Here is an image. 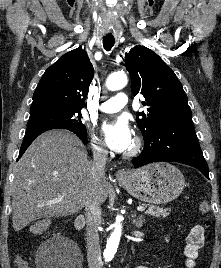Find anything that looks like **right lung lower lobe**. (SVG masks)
<instances>
[{"mask_svg": "<svg viewBox=\"0 0 221 268\" xmlns=\"http://www.w3.org/2000/svg\"><path fill=\"white\" fill-rule=\"evenodd\" d=\"M51 129H65V128H57V127H48V126H40V127H34V128H29L26 130L23 143L21 145L20 153L18 159L23 155L25 150L29 147V145L43 132L51 130ZM74 134H76L84 144L87 143V134L86 132H82L79 130H74V129H67Z\"/></svg>", "mask_w": 221, "mask_h": 268, "instance_id": "obj_1", "label": "right lung lower lobe"}]
</instances>
